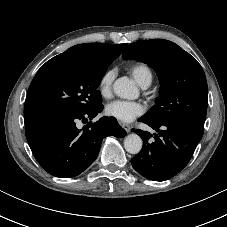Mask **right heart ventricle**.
Returning a JSON list of instances; mask_svg holds the SVG:
<instances>
[{"mask_svg":"<svg viewBox=\"0 0 227 227\" xmlns=\"http://www.w3.org/2000/svg\"><path fill=\"white\" fill-rule=\"evenodd\" d=\"M127 71L136 83L143 88L150 86L153 81V71L145 63L137 62L130 64L127 66Z\"/></svg>","mask_w":227,"mask_h":227,"instance_id":"right-heart-ventricle-1","label":"right heart ventricle"}]
</instances>
